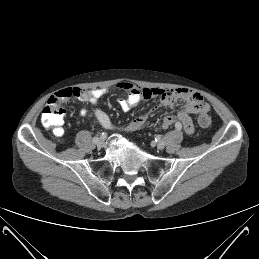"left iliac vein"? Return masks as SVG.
Instances as JSON below:
<instances>
[{"label": "left iliac vein", "instance_id": "1", "mask_svg": "<svg viewBox=\"0 0 259 259\" xmlns=\"http://www.w3.org/2000/svg\"><path fill=\"white\" fill-rule=\"evenodd\" d=\"M157 149H163L165 147V142L164 141H159L156 143Z\"/></svg>", "mask_w": 259, "mask_h": 259}]
</instances>
